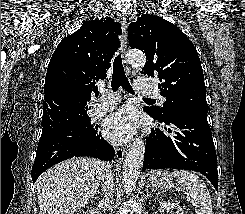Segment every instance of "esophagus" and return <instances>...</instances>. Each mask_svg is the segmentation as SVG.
<instances>
[{"instance_id":"1","label":"esophagus","mask_w":245,"mask_h":214,"mask_svg":"<svg viewBox=\"0 0 245 214\" xmlns=\"http://www.w3.org/2000/svg\"><path fill=\"white\" fill-rule=\"evenodd\" d=\"M118 21L121 23L122 26V38H121V55L124 59L125 62V68H126V72L128 74H130V68L129 66L126 64L125 58H126V53H127V46H128V41H127V24H126V18L122 13H118ZM115 154H116V158L118 161H122L124 154H125V149L123 148H115Z\"/></svg>"}]
</instances>
